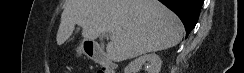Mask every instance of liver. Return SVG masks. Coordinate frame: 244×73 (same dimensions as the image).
<instances>
[{"label": "liver", "instance_id": "6515ba94", "mask_svg": "<svg viewBox=\"0 0 244 73\" xmlns=\"http://www.w3.org/2000/svg\"><path fill=\"white\" fill-rule=\"evenodd\" d=\"M76 25L82 27L86 40L104 33L115 35L106 46L114 62L174 47L184 32L180 19L158 0H67L58 45L70 38Z\"/></svg>", "mask_w": 244, "mask_h": 73}]
</instances>
